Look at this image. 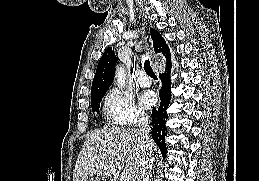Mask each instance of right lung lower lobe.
<instances>
[{
	"instance_id": "1",
	"label": "right lung lower lobe",
	"mask_w": 259,
	"mask_h": 181,
	"mask_svg": "<svg viewBox=\"0 0 259 181\" xmlns=\"http://www.w3.org/2000/svg\"><path fill=\"white\" fill-rule=\"evenodd\" d=\"M170 72H171V62L170 58L167 60V67L165 73H160L159 77L162 82V88L160 90V100L161 104L157 109L152 110V138L155 143L159 146L161 154L163 158L166 157V144H165V136H166V126L165 122L168 118L167 115V107L169 105L171 99V80H170Z\"/></svg>"
}]
</instances>
